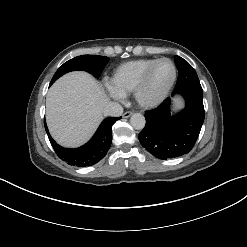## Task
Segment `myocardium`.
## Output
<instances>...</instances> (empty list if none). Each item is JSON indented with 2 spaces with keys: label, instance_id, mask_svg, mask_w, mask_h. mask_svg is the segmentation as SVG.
I'll return each mask as SVG.
<instances>
[{
  "label": "myocardium",
  "instance_id": "myocardium-1",
  "mask_svg": "<svg viewBox=\"0 0 247 247\" xmlns=\"http://www.w3.org/2000/svg\"><path fill=\"white\" fill-rule=\"evenodd\" d=\"M161 61H168L172 68H173V75L171 78L170 83L168 84V86L166 87V89L157 97L155 98H146L144 96V89L145 86L147 84V81L149 79L150 73L152 71V69L155 67V65ZM177 79V68L175 63L167 58V57H161L158 58L156 60H154L142 73L137 85L135 86V89L133 91V95L135 98V101L137 102L138 105H140L143 108L146 109H152L155 108L157 106H159L161 103H163V101L168 97L169 93L171 92L175 82Z\"/></svg>",
  "mask_w": 247,
  "mask_h": 247
}]
</instances>
